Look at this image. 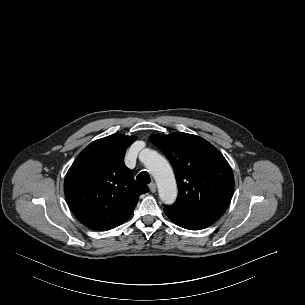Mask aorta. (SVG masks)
<instances>
[{"label": "aorta", "instance_id": "762f6f07", "mask_svg": "<svg viewBox=\"0 0 305 305\" xmlns=\"http://www.w3.org/2000/svg\"><path fill=\"white\" fill-rule=\"evenodd\" d=\"M142 154V162L156 180L161 201L168 205L174 203L178 191L170 164L163 156L155 151L146 149Z\"/></svg>", "mask_w": 305, "mask_h": 305}]
</instances>
